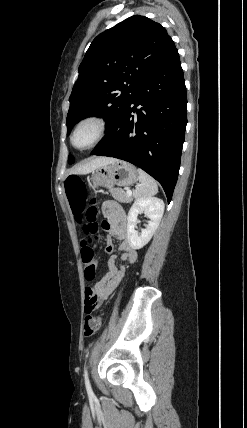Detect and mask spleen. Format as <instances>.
Instances as JSON below:
<instances>
[{
  "label": "spleen",
  "mask_w": 247,
  "mask_h": 428,
  "mask_svg": "<svg viewBox=\"0 0 247 428\" xmlns=\"http://www.w3.org/2000/svg\"><path fill=\"white\" fill-rule=\"evenodd\" d=\"M140 185L133 192L135 198L151 197L158 192V186L156 181L144 172L142 169H138Z\"/></svg>",
  "instance_id": "1"
}]
</instances>
